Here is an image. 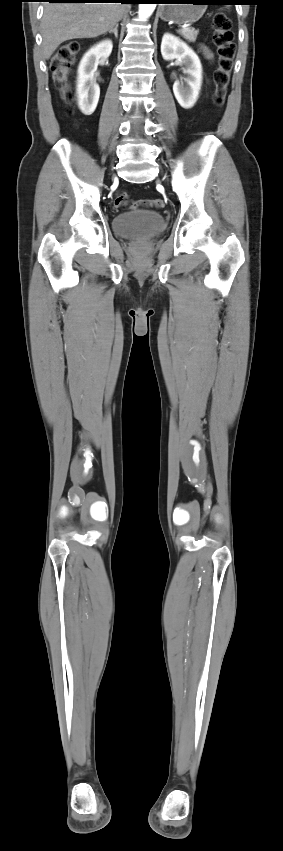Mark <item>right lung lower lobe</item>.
Wrapping results in <instances>:
<instances>
[{"instance_id": "98d812e1", "label": "right lung lower lobe", "mask_w": 283, "mask_h": 851, "mask_svg": "<svg viewBox=\"0 0 283 851\" xmlns=\"http://www.w3.org/2000/svg\"><path fill=\"white\" fill-rule=\"evenodd\" d=\"M48 2H85V3H122V4H137L142 0H45Z\"/></svg>"}]
</instances>
